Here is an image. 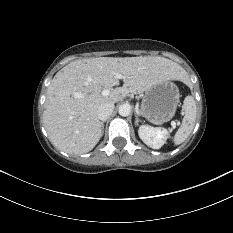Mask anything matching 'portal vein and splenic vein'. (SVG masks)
<instances>
[{"mask_svg":"<svg viewBox=\"0 0 233 233\" xmlns=\"http://www.w3.org/2000/svg\"><path fill=\"white\" fill-rule=\"evenodd\" d=\"M117 76V78L118 79H123L124 78V76L122 75V74H117L116 75ZM109 93H110V90L109 89H104L102 92H101V94L103 95V96H107V95H109ZM76 97H80V94H76ZM171 126L173 127V128H175L176 127V122L175 121H171Z\"/></svg>","mask_w":233,"mask_h":233,"instance_id":"1","label":"portal vein and splenic vein"}]
</instances>
